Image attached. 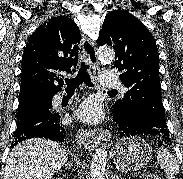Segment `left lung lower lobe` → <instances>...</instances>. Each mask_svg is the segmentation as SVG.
I'll return each mask as SVG.
<instances>
[{
	"mask_svg": "<svg viewBox=\"0 0 183 179\" xmlns=\"http://www.w3.org/2000/svg\"><path fill=\"white\" fill-rule=\"evenodd\" d=\"M113 119L118 125L119 135L121 138L131 137L135 135H152L165 139L171 143L169 131L165 128H158L147 123L136 116L129 114H121L112 111Z\"/></svg>",
	"mask_w": 183,
	"mask_h": 179,
	"instance_id": "1",
	"label": "left lung lower lobe"
}]
</instances>
